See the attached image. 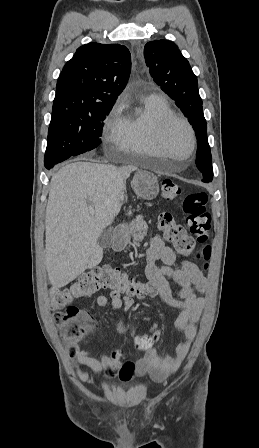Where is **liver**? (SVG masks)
Listing matches in <instances>:
<instances>
[{
    "label": "liver",
    "instance_id": "1",
    "mask_svg": "<svg viewBox=\"0 0 259 448\" xmlns=\"http://www.w3.org/2000/svg\"><path fill=\"white\" fill-rule=\"evenodd\" d=\"M132 168L75 162L50 182L45 220V264L50 284L64 288L103 258L97 240L121 210L119 194ZM94 210V216L90 212Z\"/></svg>",
    "mask_w": 259,
    "mask_h": 448
}]
</instances>
